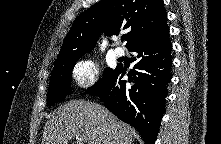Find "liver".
<instances>
[{
	"mask_svg": "<svg viewBox=\"0 0 221 144\" xmlns=\"http://www.w3.org/2000/svg\"><path fill=\"white\" fill-rule=\"evenodd\" d=\"M134 135L132 127L104 106L71 100L46 122L43 144H68L75 138L86 144H132Z\"/></svg>",
	"mask_w": 221,
	"mask_h": 144,
	"instance_id": "6515ba94",
	"label": "liver"
}]
</instances>
